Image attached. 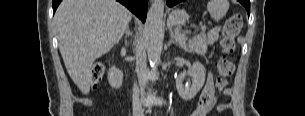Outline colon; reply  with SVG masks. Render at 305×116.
<instances>
[{
  "label": "colon",
  "instance_id": "obj_1",
  "mask_svg": "<svg viewBox=\"0 0 305 116\" xmlns=\"http://www.w3.org/2000/svg\"><path fill=\"white\" fill-rule=\"evenodd\" d=\"M242 27V17L238 13L231 14L222 29V55L218 59L216 88L221 91L228 85V78L234 71V58L236 52V37ZM106 66L103 63L93 65L90 80L96 86L103 78Z\"/></svg>",
  "mask_w": 305,
  "mask_h": 116
}]
</instances>
